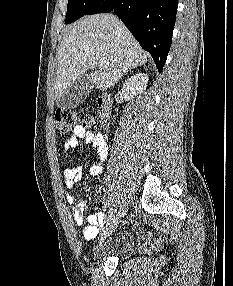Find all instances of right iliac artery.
<instances>
[{
	"mask_svg": "<svg viewBox=\"0 0 233 286\" xmlns=\"http://www.w3.org/2000/svg\"><path fill=\"white\" fill-rule=\"evenodd\" d=\"M116 213L115 207H111L108 212L107 222L111 221Z\"/></svg>",
	"mask_w": 233,
	"mask_h": 286,
	"instance_id": "1",
	"label": "right iliac artery"
}]
</instances>
